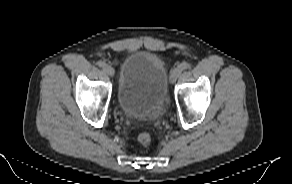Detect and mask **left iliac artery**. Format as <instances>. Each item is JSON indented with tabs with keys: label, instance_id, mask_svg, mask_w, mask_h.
<instances>
[{
	"label": "left iliac artery",
	"instance_id": "1",
	"mask_svg": "<svg viewBox=\"0 0 292 184\" xmlns=\"http://www.w3.org/2000/svg\"><path fill=\"white\" fill-rule=\"evenodd\" d=\"M178 68H179L181 71H183V70L189 68V64L186 63V62H184V63L180 64V65L178 66Z\"/></svg>",
	"mask_w": 292,
	"mask_h": 184
}]
</instances>
